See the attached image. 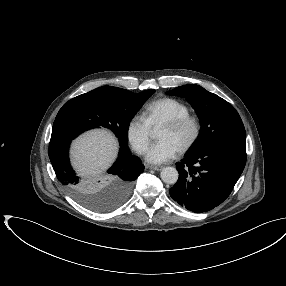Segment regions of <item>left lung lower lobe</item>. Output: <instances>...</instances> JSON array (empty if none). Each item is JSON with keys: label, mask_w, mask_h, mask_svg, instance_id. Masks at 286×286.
Here are the masks:
<instances>
[{"label": "left lung lower lobe", "mask_w": 286, "mask_h": 286, "mask_svg": "<svg viewBox=\"0 0 286 286\" xmlns=\"http://www.w3.org/2000/svg\"><path fill=\"white\" fill-rule=\"evenodd\" d=\"M246 159V146L235 144H217L190 153L176 165L179 179L169 190L170 196L193 212L211 210L230 195Z\"/></svg>", "instance_id": "1"}]
</instances>
